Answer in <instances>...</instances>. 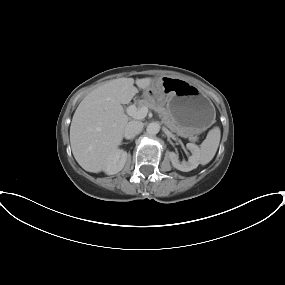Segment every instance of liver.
I'll return each instance as SVG.
<instances>
[{
	"instance_id": "obj_1",
	"label": "liver",
	"mask_w": 285,
	"mask_h": 285,
	"mask_svg": "<svg viewBox=\"0 0 285 285\" xmlns=\"http://www.w3.org/2000/svg\"><path fill=\"white\" fill-rule=\"evenodd\" d=\"M153 82L150 77L110 80L91 91L77 107L70 126L72 153L86 171L104 170L123 140L128 116L122 104H128L138 93Z\"/></svg>"
}]
</instances>
